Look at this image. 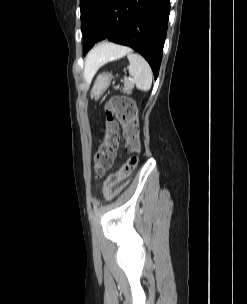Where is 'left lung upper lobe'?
Returning <instances> with one entry per match:
<instances>
[{
    "instance_id": "left-lung-upper-lobe-1",
    "label": "left lung upper lobe",
    "mask_w": 247,
    "mask_h": 304,
    "mask_svg": "<svg viewBox=\"0 0 247 304\" xmlns=\"http://www.w3.org/2000/svg\"><path fill=\"white\" fill-rule=\"evenodd\" d=\"M104 1L105 0H80L81 30L98 17Z\"/></svg>"
}]
</instances>
